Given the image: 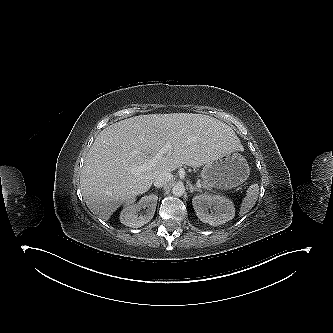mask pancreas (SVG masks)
Segmentation results:
<instances>
[{
	"label": "pancreas",
	"instance_id": "1",
	"mask_svg": "<svg viewBox=\"0 0 333 333\" xmlns=\"http://www.w3.org/2000/svg\"><path fill=\"white\" fill-rule=\"evenodd\" d=\"M203 187L206 188V189H210V185L206 184V183H203Z\"/></svg>",
	"mask_w": 333,
	"mask_h": 333
}]
</instances>
